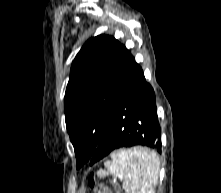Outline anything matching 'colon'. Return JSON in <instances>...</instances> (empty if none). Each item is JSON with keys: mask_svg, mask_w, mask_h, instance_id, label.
<instances>
[{"mask_svg": "<svg viewBox=\"0 0 221 193\" xmlns=\"http://www.w3.org/2000/svg\"><path fill=\"white\" fill-rule=\"evenodd\" d=\"M89 186L95 193H104L103 186L97 183L94 175L89 179Z\"/></svg>", "mask_w": 221, "mask_h": 193, "instance_id": "colon-1", "label": "colon"}]
</instances>
